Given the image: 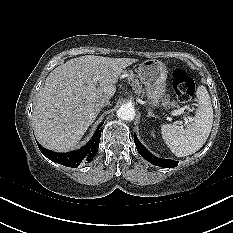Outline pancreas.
I'll return each mask as SVG.
<instances>
[{"label": "pancreas", "instance_id": "1", "mask_svg": "<svg viewBox=\"0 0 233 233\" xmlns=\"http://www.w3.org/2000/svg\"><path fill=\"white\" fill-rule=\"evenodd\" d=\"M125 74H128V81L131 83L133 90H135V93L138 95L143 96L144 95V90L142 88L141 83L139 82V80L136 78L135 74H133L132 72H125ZM163 106L164 107H172V108H179V105L176 101H170L169 98H165L163 101Z\"/></svg>", "mask_w": 233, "mask_h": 233}]
</instances>
